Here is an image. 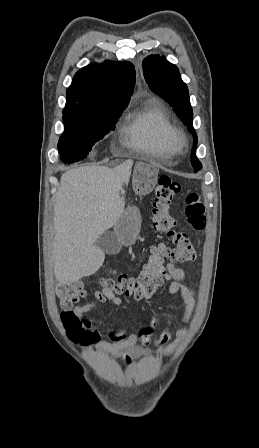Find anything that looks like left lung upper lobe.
Wrapping results in <instances>:
<instances>
[{"mask_svg":"<svg viewBox=\"0 0 259 448\" xmlns=\"http://www.w3.org/2000/svg\"><path fill=\"white\" fill-rule=\"evenodd\" d=\"M143 74L151 90L165 99L173 110L189 127L194 137V147L191 154V162L195 172L202 168L195 155L197 134L192 126L193 111L190 104L187 85L182 81L179 69L165 58L158 55H150L143 60Z\"/></svg>","mask_w":259,"mask_h":448,"instance_id":"left-lung-upper-lobe-1","label":"left lung upper lobe"}]
</instances>
